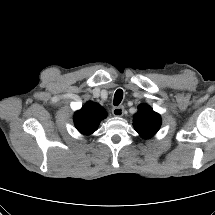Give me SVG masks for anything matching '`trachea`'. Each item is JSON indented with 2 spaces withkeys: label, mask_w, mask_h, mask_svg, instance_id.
Instances as JSON below:
<instances>
[{
  "label": "trachea",
  "mask_w": 215,
  "mask_h": 215,
  "mask_svg": "<svg viewBox=\"0 0 215 215\" xmlns=\"http://www.w3.org/2000/svg\"><path fill=\"white\" fill-rule=\"evenodd\" d=\"M122 99H123V91L121 89H118L115 92L113 104L115 106H118L121 103Z\"/></svg>",
  "instance_id": "1"
}]
</instances>
